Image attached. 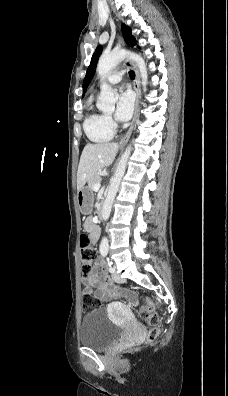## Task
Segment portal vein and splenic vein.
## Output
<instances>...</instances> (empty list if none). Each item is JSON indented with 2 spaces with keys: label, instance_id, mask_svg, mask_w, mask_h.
<instances>
[{
  "label": "portal vein and splenic vein",
  "instance_id": "18ae733b",
  "mask_svg": "<svg viewBox=\"0 0 228 396\" xmlns=\"http://www.w3.org/2000/svg\"><path fill=\"white\" fill-rule=\"evenodd\" d=\"M100 186V183L95 184L93 190L98 191L100 189Z\"/></svg>",
  "mask_w": 228,
  "mask_h": 396
}]
</instances>
